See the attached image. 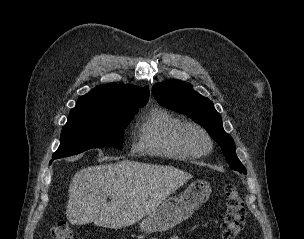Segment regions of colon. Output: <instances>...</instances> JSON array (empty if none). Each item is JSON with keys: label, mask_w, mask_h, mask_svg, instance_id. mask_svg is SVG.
<instances>
[{"label": "colon", "mask_w": 304, "mask_h": 239, "mask_svg": "<svg viewBox=\"0 0 304 239\" xmlns=\"http://www.w3.org/2000/svg\"><path fill=\"white\" fill-rule=\"evenodd\" d=\"M225 216L222 221V238L236 239L243 230L246 210L237 186L228 184L224 188ZM52 239H74L69 225L60 221L51 230Z\"/></svg>", "instance_id": "colon-1"}]
</instances>
